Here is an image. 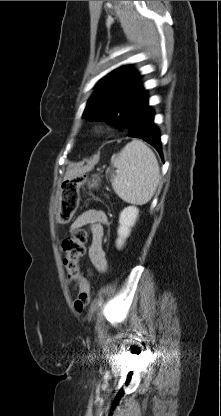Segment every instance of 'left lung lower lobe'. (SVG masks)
Listing matches in <instances>:
<instances>
[{
    "mask_svg": "<svg viewBox=\"0 0 221 416\" xmlns=\"http://www.w3.org/2000/svg\"><path fill=\"white\" fill-rule=\"evenodd\" d=\"M128 136L143 139L162 156L160 132L154 123V111L151 106H148L147 98L137 107L128 126Z\"/></svg>",
    "mask_w": 221,
    "mask_h": 416,
    "instance_id": "1",
    "label": "left lung lower lobe"
}]
</instances>
